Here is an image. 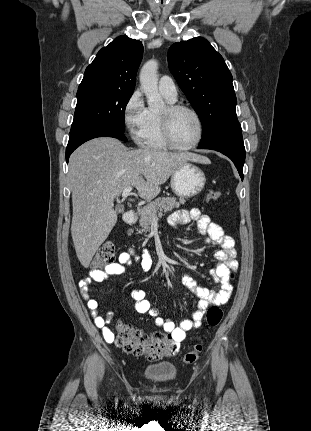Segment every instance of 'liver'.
I'll return each mask as SVG.
<instances>
[{"mask_svg": "<svg viewBox=\"0 0 311 431\" xmlns=\"http://www.w3.org/2000/svg\"><path fill=\"white\" fill-rule=\"evenodd\" d=\"M211 164L192 152L155 148L128 150L115 138H95L73 152L68 178L72 188L71 235L79 261L88 267L117 221L114 198L133 186L143 200H154L173 172L187 164Z\"/></svg>", "mask_w": 311, "mask_h": 431, "instance_id": "obj_1", "label": "liver"}]
</instances>
